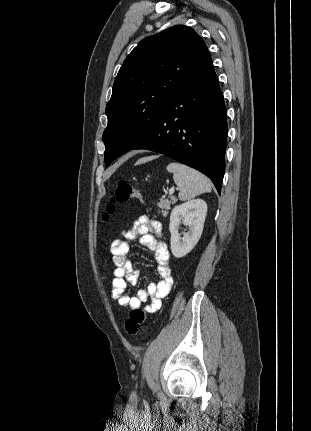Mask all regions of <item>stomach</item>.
<instances>
[{
    "instance_id": "obj_1",
    "label": "stomach",
    "mask_w": 311,
    "mask_h": 431,
    "mask_svg": "<svg viewBox=\"0 0 311 431\" xmlns=\"http://www.w3.org/2000/svg\"><path fill=\"white\" fill-rule=\"evenodd\" d=\"M149 178H151V176H148V178H146V182H150Z\"/></svg>"
}]
</instances>
